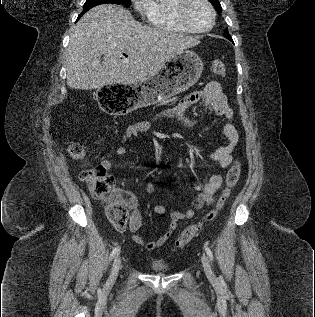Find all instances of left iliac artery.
I'll use <instances>...</instances> for the list:
<instances>
[{
	"label": "left iliac artery",
	"mask_w": 315,
	"mask_h": 317,
	"mask_svg": "<svg viewBox=\"0 0 315 317\" xmlns=\"http://www.w3.org/2000/svg\"><path fill=\"white\" fill-rule=\"evenodd\" d=\"M205 251H206L209 259L212 261L213 260V253H212L211 249L208 246H205Z\"/></svg>",
	"instance_id": "obj_1"
}]
</instances>
